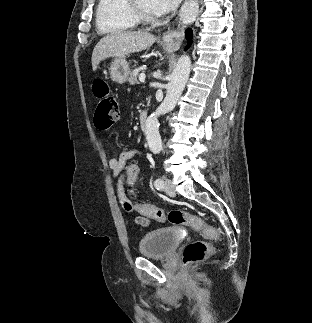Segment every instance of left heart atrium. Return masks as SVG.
Instances as JSON below:
<instances>
[{"label": "left heart atrium", "mask_w": 312, "mask_h": 323, "mask_svg": "<svg viewBox=\"0 0 312 323\" xmlns=\"http://www.w3.org/2000/svg\"><path fill=\"white\" fill-rule=\"evenodd\" d=\"M178 4H181V0H152L150 7L155 12H176Z\"/></svg>", "instance_id": "1"}]
</instances>
